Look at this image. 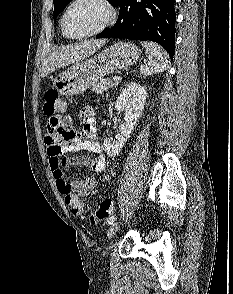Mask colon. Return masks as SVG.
I'll use <instances>...</instances> for the list:
<instances>
[{"label": "colon", "instance_id": "1", "mask_svg": "<svg viewBox=\"0 0 233 294\" xmlns=\"http://www.w3.org/2000/svg\"><path fill=\"white\" fill-rule=\"evenodd\" d=\"M44 114L51 117L53 110H63V104L56 91H47L44 95ZM65 201L71 206V211L74 215H80L82 218L84 212V203L76 196L70 194L65 196ZM113 212V202L109 199L102 201L97 208L89 215L88 220L92 224H96L107 218Z\"/></svg>", "mask_w": 233, "mask_h": 294}]
</instances>
